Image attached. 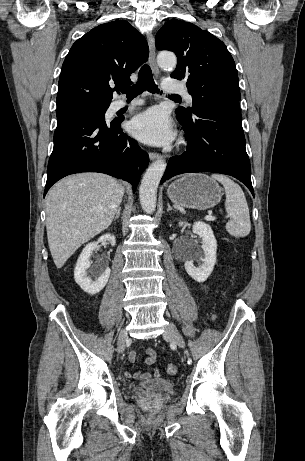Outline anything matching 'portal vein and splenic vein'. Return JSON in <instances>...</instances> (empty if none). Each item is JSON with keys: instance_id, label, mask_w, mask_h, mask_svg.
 Masks as SVG:
<instances>
[{"instance_id": "1", "label": "portal vein and splenic vein", "mask_w": 305, "mask_h": 461, "mask_svg": "<svg viewBox=\"0 0 305 461\" xmlns=\"http://www.w3.org/2000/svg\"><path fill=\"white\" fill-rule=\"evenodd\" d=\"M215 219H216V217H214V216H212V215H207V216H205V220H207V221H213V220H215Z\"/></svg>"}]
</instances>
